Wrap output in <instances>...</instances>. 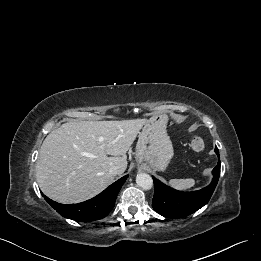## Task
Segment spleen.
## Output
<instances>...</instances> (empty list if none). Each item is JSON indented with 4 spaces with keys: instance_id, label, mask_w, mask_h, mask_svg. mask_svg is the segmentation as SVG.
I'll use <instances>...</instances> for the list:
<instances>
[{
    "instance_id": "spleen-1",
    "label": "spleen",
    "mask_w": 261,
    "mask_h": 261,
    "mask_svg": "<svg viewBox=\"0 0 261 261\" xmlns=\"http://www.w3.org/2000/svg\"><path fill=\"white\" fill-rule=\"evenodd\" d=\"M195 180L192 178H188V179H171L169 180V185L171 187H173L174 189L177 190H187L190 189L191 187H193L195 185Z\"/></svg>"
}]
</instances>
